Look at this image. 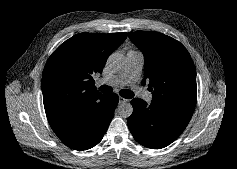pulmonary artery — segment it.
I'll use <instances>...</instances> for the list:
<instances>
[{"mask_svg": "<svg viewBox=\"0 0 237 169\" xmlns=\"http://www.w3.org/2000/svg\"><path fill=\"white\" fill-rule=\"evenodd\" d=\"M141 59H142V56L140 54H133V53L128 54V62L132 68H136L141 62ZM118 82H119V79H112L110 81L111 84H117ZM148 100H151V96L148 97Z\"/></svg>", "mask_w": 237, "mask_h": 169, "instance_id": "e3ab8cb5", "label": "pulmonary artery"}]
</instances>
